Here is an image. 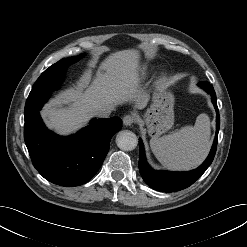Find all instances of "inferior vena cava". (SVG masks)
<instances>
[{
    "mask_svg": "<svg viewBox=\"0 0 247 247\" xmlns=\"http://www.w3.org/2000/svg\"><path fill=\"white\" fill-rule=\"evenodd\" d=\"M114 108L109 106V107H102V108H99L97 109L94 114L97 116V117H100V118H107L110 116L112 110Z\"/></svg>",
    "mask_w": 247,
    "mask_h": 247,
    "instance_id": "obj_1",
    "label": "inferior vena cava"
}]
</instances>
